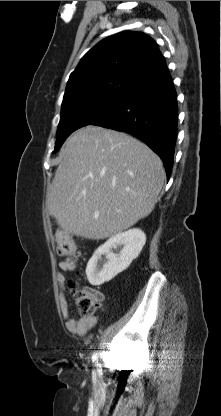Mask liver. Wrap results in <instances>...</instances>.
Masks as SVG:
<instances>
[{"mask_svg":"<svg viewBox=\"0 0 221 416\" xmlns=\"http://www.w3.org/2000/svg\"><path fill=\"white\" fill-rule=\"evenodd\" d=\"M164 180L163 163L146 144L88 125L67 140L46 204L65 232L105 239L147 217Z\"/></svg>","mask_w":221,"mask_h":416,"instance_id":"liver-1","label":"liver"}]
</instances>
